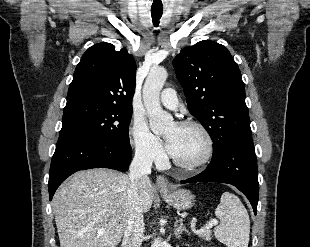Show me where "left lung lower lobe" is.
<instances>
[{
	"instance_id": "left-lung-lower-lobe-1",
	"label": "left lung lower lobe",
	"mask_w": 310,
	"mask_h": 247,
	"mask_svg": "<svg viewBox=\"0 0 310 247\" xmlns=\"http://www.w3.org/2000/svg\"><path fill=\"white\" fill-rule=\"evenodd\" d=\"M222 182L234 185L249 199L257 213L259 183L257 163L252 138L240 140L218 155L200 174L181 183Z\"/></svg>"
}]
</instances>
